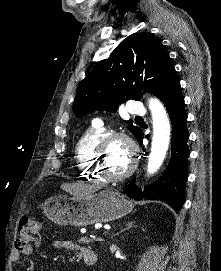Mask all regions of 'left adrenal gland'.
<instances>
[{"instance_id":"a2214340","label":"left adrenal gland","mask_w":221,"mask_h":271,"mask_svg":"<svg viewBox=\"0 0 221 271\" xmlns=\"http://www.w3.org/2000/svg\"><path fill=\"white\" fill-rule=\"evenodd\" d=\"M135 221H125L126 227L124 229H121V231H125V229H130V227H133ZM121 231H118V233H121ZM117 235V233H115Z\"/></svg>"}]
</instances>
